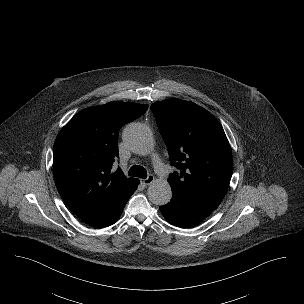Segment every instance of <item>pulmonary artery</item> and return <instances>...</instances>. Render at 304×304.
<instances>
[{
  "label": "pulmonary artery",
  "mask_w": 304,
  "mask_h": 304,
  "mask_svg": "<svg viewBox=\"0 0 304 304\" xmlns=\"http://www.w3.org/2000/svg\"><path fill=\"white\" fill-rule=\"evenodd\" d=\"M156 169L158 170L159 173L165 174L168 172V168L162 163V162H157L156 164Z\"/></svg>",
  "instance_id": "1"
}]
</instances>
